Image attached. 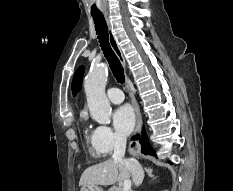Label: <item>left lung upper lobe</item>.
<instances>
[{
    "label": "left lung upper lobe",
    "mask_w": 233,
    "mask_h": 191,
    "mask_svg": "<svg viewBox=\"0 0 233 191\" xmlns=\"http://www.w3.org/2000/svg\"><path fill=\"white\" fill-rule=\"evenodd\" d=\"M83 74H84V67L81 66L77 69V71L74 75L73 81H72V92H73L74 96L81 89V82H82Z\"/></svg>",
    "instance_id": "5c2ea615"
}]
</instances>
